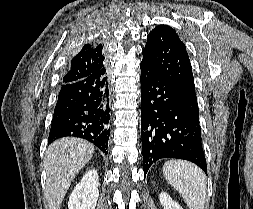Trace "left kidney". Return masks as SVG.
<instances>
[{
    "label": "left kidney",
    "instance_id": "1",
    "mask_svg": "<svg viewBox=\"0 0 253 209\" xmlns=\"http://www.w3.org/2000/svg\"><path fill=\"white\" fill-rule=\"evenodd\" d=\"M159 199L164 209H183L176 201H173L166 192H161Z\"/></svg>",
    "mask_w": 253,
    "mask_h": 209
}]
</instances>
